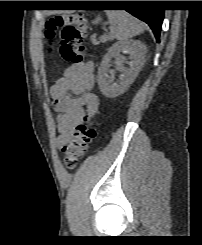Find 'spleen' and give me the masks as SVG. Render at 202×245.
Here are the masks:
<instances>
[{
	"label": "spleen",
	"mask_w": 202,
	"mask_h": 245,
	"mask_svg": "<svg viewBox=\"0 0 202 245\" xmlns=\"http://www.w3.org/2000/svg\"><path fill=\"white\" fill-rule=\"evenodd\" d=\"M106 15L119 41H127L144 31L143 24L126 11H106Z\"/></svg>",
	"instance_id": "obj_1"
}]
</instances>
